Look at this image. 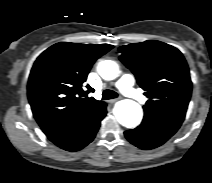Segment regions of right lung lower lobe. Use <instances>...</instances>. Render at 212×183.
Listing matches in <instances>:
<instances>
[{
	"mask_svg": "<svg viewBox=\"0 0 212 183\" xmlns=\"http://www.w3.org/2000/svg\"><path fill=\"white\" fill-rule=\"evenodd\" d=\"M105 115L106 105L90 119L81 121L63 131L47 135V137L58 147L66 151H78L94 139L100 122Z\"/></svg>",
	"mask_w": 212,
	"mask_h": 183,
	"instance_id": "right-lung-lower-lobe-1",
	"label": "right lung lower lobe"
}]
</instances>
